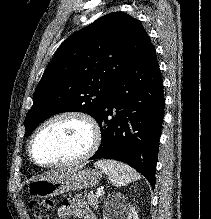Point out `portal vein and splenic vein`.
Wrapping results in <instances>:
<instances>
[{
	"instance_id": "obj_1",
	"label": "portal vein and splenic vein",
	"mask_w": 211,
	"mask_h": 219,
	"mask_svg": "<svg viewBox=\"0 0 211 219\" xmlns=\"http://www.w3.org/2000/svg\"><path fill=\"white\" fill-rule=\"evenodd\" d=\"M102 194H104V191L103 190H101V189H98L97 191H96V195H102Z\"/></svg>"
}]
</instances>
